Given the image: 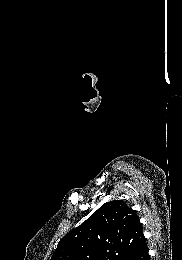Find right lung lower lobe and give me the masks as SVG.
Instances as JSON below:
<instances>
[{"instance_id": "right-lung-lower-lobe-1", "label": "right lung lower lobe", "mask_w": 182, "mask_h": 260, "mask_svg": "<svg viewBox=\"0 0 182 260\" xmlns=\"http://www.w3.org/2000/svg\"><path fill=\"white\" fill-rule=\"evenodd\" d=\"M123 260H150L146 241L129 253Z\"/></svg>"}]
</instances>
